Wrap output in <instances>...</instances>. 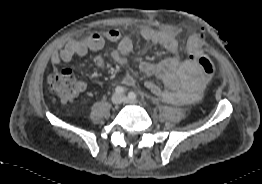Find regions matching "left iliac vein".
I'll use <instances>...</instances> for the list:
<instances>
[{
	"label": "left iliac vein",
	"instance_id": "1",
	"mask_svg": "<svg viewBox=\"0 0 262 184\" xmlns=\"http://www.w3.org/2000/svg\"><path fill=\"white\" fill-rule=\"evenodd\" d=\"M122 101L124 103H130V104H135L136 103V100L135 99H131L129 97H126V96H122Z\"/></svg>",
	"mask_w": 262,
	"mask_h": 184
}]
</instances>
